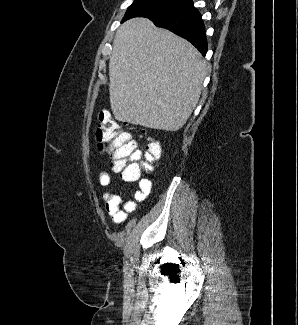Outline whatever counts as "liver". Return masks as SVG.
I'll list each match as a JSON object with an SVG mask.
<instances>
[{"mask_svg": "<svg viewBox=\"0 0 298 325\" xmlns=\"http://www.w3.org/2000/svg\"><path fill=\"white\" fill-rule=\"evenodd\" d=\"M205 76L197 48L149 18H130L117 28L109 60L116 120L179 130L200 98Z\"/></svg>", "mask_w": 298, "mask_h": 325, "instance_id": "6515ba94", "label": "liver"}]
</instances>
